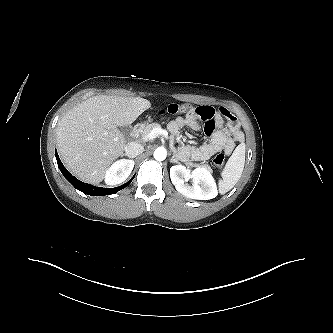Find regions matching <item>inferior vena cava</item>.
Wrapping results in <instances>:
<instances>
[{"label":"inferior vena cava","mask_w":333,"mask_h":333,"mask_svg":"<svg viewBox=\"0 0 333 333\" xmlns=\"http://www.w3.org/2000/svg\"><path fill=\"white\" fill-rule=\"evenodd\" d=\"M144 151V147L138 142H129L125 146V152L129 156H137L142 154Z\"/></svg>","instance_id":"602c4592"}]
</instances>
